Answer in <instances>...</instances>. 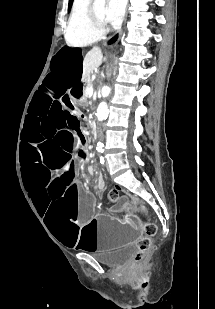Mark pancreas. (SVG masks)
<instances>
[{
	"mask_svg": "<svg viewBox=\"0 0 215 309\" xmlns=\"http://www.w3.org/2000/svg\"><path fill=\"white\" fill-rule=\"evenodd\" d=\"M84 82H85V88L83 90L82 98H89V96L86 92V88H90V86H93V80H92V78H87V80H84Z\"/></svg>",
	"mask_w": 215,
	"mask_h": 309,
	"instance_id": "1",
	"label": "pancreas"
}]
</instances>
